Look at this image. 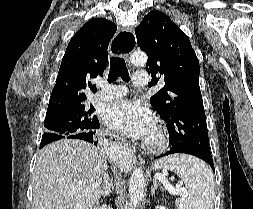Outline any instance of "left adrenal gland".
<instances>
[{"instance_id":"a2214340","label":"left adrenal gland","mask_w":253,"mask_h":209,"mask_svg":"<svg viewBox=\"0 0 253 209\" xmlns=\"http://www.w3.org/2000/svg\"><path fill=\"white\" fill-rule=\"evenodd\" d=\"M158 188L157 181L155 180L153 185L151 186V194L153 195L155 193V190Z\"/></svg>"}]
</instances>
